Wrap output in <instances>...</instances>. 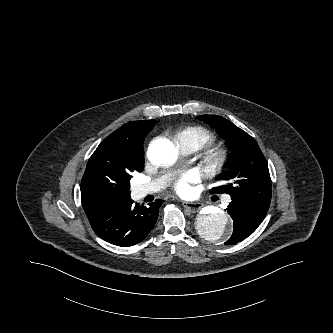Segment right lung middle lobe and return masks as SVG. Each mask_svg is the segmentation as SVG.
<instances>
[{"label":"right lung middle lobe","mask_w":333,"mask_h":333,"mask_svg":"<svg viewBox=\"0 0 333 333\" xmlns=\"http://www.w3.org/2000/svg\"><path fill=\"white\" fill-rule=\"evenodd\" d=\"M155 120L146 121V134H148L154 127ZM143 162L138 165L130 166L126 169H122L119 172L114 173L113 178L110 181H104L103 186L112 192L121 194L122 196H130V179L132 173L135 171H142Z\"/></svg>","instance_id":"dd1d6c3e"}]
</instances>
